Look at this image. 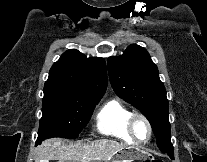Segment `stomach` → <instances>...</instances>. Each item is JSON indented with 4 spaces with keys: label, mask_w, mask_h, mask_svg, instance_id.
<instances>
[{
    "label": "stomach",
    "mask_w": 207,
    "mask_h": 162,
    "mask_svg": "<svg viewBox=\"0 0 207 162\" xmlns=\"http://www.w3.org/2000/svg\"><path fill=\"white\" fill-rule=\"evenodd\" d=\"M134 160H154V159L151 158L144 151L132 147H125L114 155L111 162H133Z\"/></svg>",
    "instance_id": "1"
}]
</instances>
